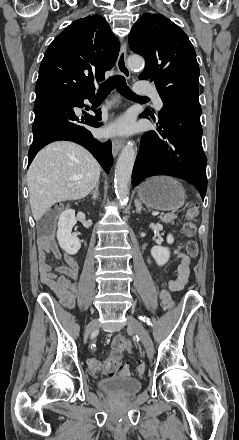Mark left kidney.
Listing matches in <instances>:
<instances>
[{"mask_svg": "<svg viewBox=\"0 0 239 440\" xmlns=\"http://www.w3.org/2000/svg\"><path fill=\"white\" fill-rule=\"evenodd\" d=\"M173 242L174 238L172 234H169V236H167V244H173ZM151 256L154 258L158 266H164V264H167L170 258L169 248H163V246H153V248H151Z\"/></svg>", "mask_w": 239, "mask_h": 440, "instance_id": "1", "label": "left kidney"}]
</instances>
